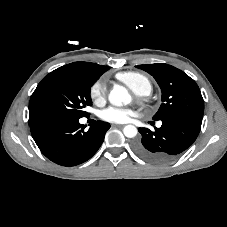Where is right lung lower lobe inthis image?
<instances>
[{"mask_svg":"<svg viewBox=\"0 0 227 227\" xmlns=\"http://www.w3.org/2000/svg\"><path fill=\"white\" fill-rule=\"evenodd\" d=\"M85 127L79 119L44 120L30 125V130L48 159L62 166H75L97 152L110 125L97 121L88 130Z\"/></svg>","mask_w":227,"mask_h":227,"instance_id":"obj_1","label":"right lung lower lobe"}]
</instances>
